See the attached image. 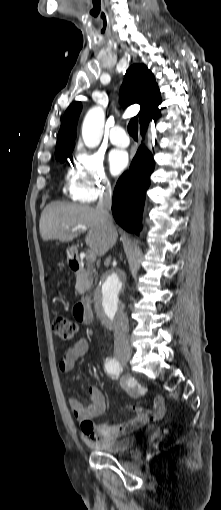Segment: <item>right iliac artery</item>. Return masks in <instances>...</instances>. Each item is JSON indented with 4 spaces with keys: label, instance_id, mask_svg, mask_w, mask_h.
<instances>
[{
    "label": "right iliac artery",
    "instance_id": "1",
    "mask_svg": "<svg viewBox=\"0 0 221 510\" xmlns=\"http://www.w3.org/2000/svg\"><path fill=\"white\" fill-rule=\"evenodd\" d=\"M105 369L110 375L116 377H118L122 372V366L115 358H109L106 360Z\"/></svg>",
    "mask_w": 221,
    "mask_h": 510
}]
</instances>
